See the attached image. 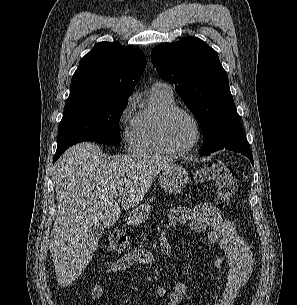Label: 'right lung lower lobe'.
Wrapping results in <instances>:
<instances>
[{
	"mask_svg": "<svg viewBox=\"0 0 297 305\" xmlns=\"http://www.w3.org/2000/svg\"><path fill=\"white\" fill-rule=\"evenodd\" d=\"M65 150H57L55 155H54V158H53V163L62 155V153L64 152Z\"/></svg>",
	"mask_w": 297,
	"mask_h": 305,
	"instance_id": "98d812e1",
	"label": "right lung lower lobe"
}]
</instances>
